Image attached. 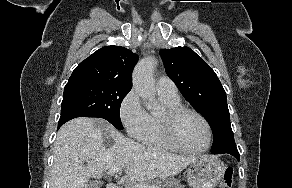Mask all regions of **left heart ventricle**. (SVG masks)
<instances>
[{"label":"left heart ventricle","instance_id":"b2bd125f","mask_svg":"<svg viewBox=\"0 0 292 188\" xmlns=\"http://www.w3.org/2000/svg\"><path fill=\"white\" fill-rule=\"evenodd\" d=\"M180 142L190 149H201L207 142V131L203 122L192 114L184 115L177 123Z\"/></svg>","mask_w":292,"mask_h":188}]
</instances>
